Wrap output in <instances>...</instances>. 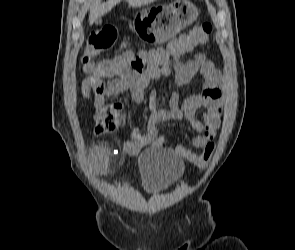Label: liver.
Segmentation results:
<instances>
[{
	"label": "liver",
	"instance_id": "liver-1",
	"mask_svg": "<svg viewBox=\"0 0 295 250\" xmlns=\"http://www.w3.org/2000/svg\"><path fill=\"white\" fill-rule=\"evenodd\" d=\"M130 6L141 7L149 3H153L156 0H126ZM121 0H108L106 2H101V0H96L95 3L90 7L89 13V24L92 25L101 16L110 12Z\"/></svg>",
	"mask_w": 295,
	"mask_h": 250
}]
</instances>
